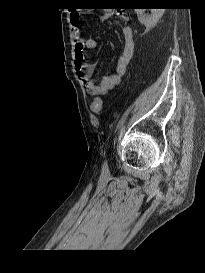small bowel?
<instances>
[{
  "instance_id": "small-bowel-1",
  "label": "small bowel",
  "mask_w": 205,
  "mask_h": 273,
  "mask_svg": "<svg viewBox=\"0 0 205 273\" xmlns=\"http://www.w3.org/2000/svg\"><path fill=\"white\" fill-rule=\"evenodd\" d=\"M111 14L106 12L102 17L107 18ZM121 18L128 22L129 17L126 14H121ZM82 17L78 13H72L70 15V22L73 27L75 37V49H74V64L76 71L80 79L83 81L86 91L91 95H102L107 93L109 90L116 87L122 76L124 75L127 65L130 62L134 52V40H133V29L130 25H125L122 30V36L124 39V48L117 59L115 70L112 74L103 76L101 80L96 83L93 81L92 76L96 69L95 63H84V50H93L96 48V41L93 39H82L80 37L79 26Z\"/></svg>"
}]
</instances>
